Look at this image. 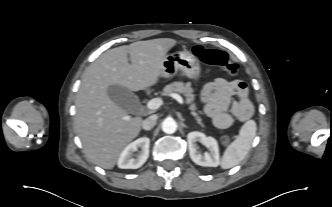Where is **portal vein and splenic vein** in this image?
<instances>
[{"instance_id": "18ae733b", "label": "portal vein and splenic vein", "mask_w": 332, "mask_h": 207, "mask_svg": "<svg viewBox=\"0 0 332 207\" xmlns=\"http://www.w3.org/2000/svg\"><path fill=\"white\" fill-rule=\"evenodd\" d=\"M170 96L177 100L181 105H183L184 101L183 98L177 93H171ZM162 105V100L160 98H154L148 101L147 108L149 110L158 109Z\"/></svg>"}]
</instances>
